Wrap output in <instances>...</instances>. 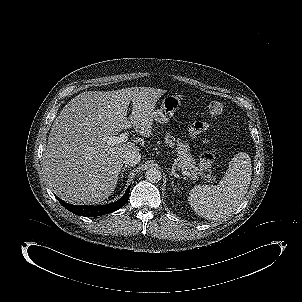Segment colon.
<instances>
[{"mask_svg":"<svg viewBox=\"0 0 302 302\" xmlns=\"http://www.w3.org/2000/svg\"><path fill=\"white\" fill-rule=\"evenodd\" d=\"M209 113L216 117H224L226 122H230V117L225 116V107L221 102L213 101L208 106ZM215 155L210 151H205L200 156L199 171L204 179H212V167Z\"/></svg>","mask_w":302,"mask_h":302,"instance_id":"colon-1","label":"colon"}]
</instances>
